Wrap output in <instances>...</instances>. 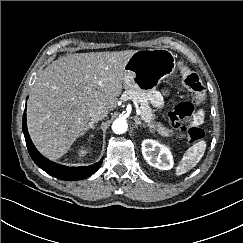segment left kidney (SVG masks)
<instances>
[{"label":"left kidney","mask_w":243,"mask_h":243,"mask_svg":"<svg viewBox=\"0 0 243 243\" xmlns=\"http://www.w3.org/2000/svg\"><path fill=\"white\" fill-rule=\"evenodd\" d=\"M142 154L147 163L160 170L173 167V157L168 147L158 141L147 139L142 142Z\"/></svg>","instance_id":"5707ae66"}]
</instances>
